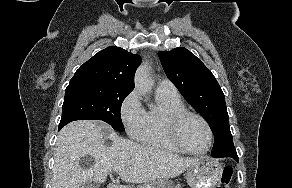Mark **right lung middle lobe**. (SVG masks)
<instances>
[{
	"instance_id": "right-lung-middle-lobe-1",
	"label": "right lung middle lobe",
	"mask_w": 292,
	"mask_h": 188,
	"mask_svg": "<svg viewBox=\"0 0 292 188\" xmlns=\"http://www.w3.org/2000/svg\"><path fill=\"white\" fill-rule=\"evenodd\" d=\"M131 91L96 82H70L65 91L60 124L80 119L102 120L123 132L120 109Z\"/></svg>"
}]
</instances>
